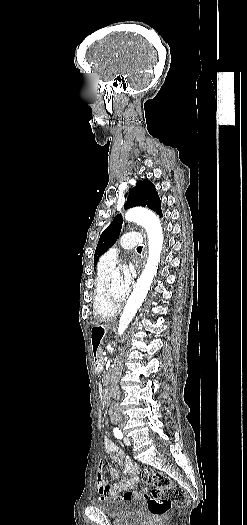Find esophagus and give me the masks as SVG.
<instances>
[{
    "label": "esophagus",
    "instance_id": "obj_1",
    "mask_svg": "<svg viewBox=\"0 0 247 525\" xmlns=\"http://www.w3.org/2000/svg\"><path fill=\"white\" fill-rule=\"evenodd\" d=\"M145 253H146V257H147V248L145 249ZM147 267V264L145 262H142L140 264V270H139V273H143V269H145Z\"/></svg>",
    "mask_w": 247,
    "mask_h": 525
}]
</instances>
